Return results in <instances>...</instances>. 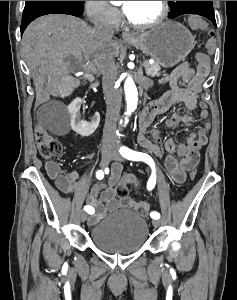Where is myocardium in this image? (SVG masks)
<instances>
[{"label":"myocardium","instance_id":"obj_1","mask_svg":"<svg viewBox=\"0 0 237 300\" xmlns=\"http://www.w3.org/2000/svg\"><path fill=\"white\" fill-rule=\"evenodd\" d=\"M161 3V12L159 16L152 22L139 24L131 20L127 14H125V19L127 23L135 29L138 30H149L160 26L167 18L169 14V1H160Z\"/></svg>","mask_w":237,"mask_h":300}]
</instances>
